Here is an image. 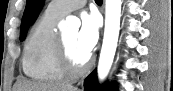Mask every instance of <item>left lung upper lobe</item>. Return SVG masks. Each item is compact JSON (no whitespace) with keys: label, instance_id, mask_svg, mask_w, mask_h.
<instances>
[{"label":"left lung upper lobe","instance_id":"5c2ea615","mask_svg":"<svg viewBox=\"0 0 173 91\" xmlns=\"http://www.w3.org/2000/svg\"><path fill=\"white\" fill-rule=\"evenodd\" d=\"M41 3V0H27L26 8L23 14L21 30H20V41H23L26 37L27 30L30 25L31 18L35 12L37 6Z\"/></svg>","mask_w":173,"mask_h":91}]
</instances>
